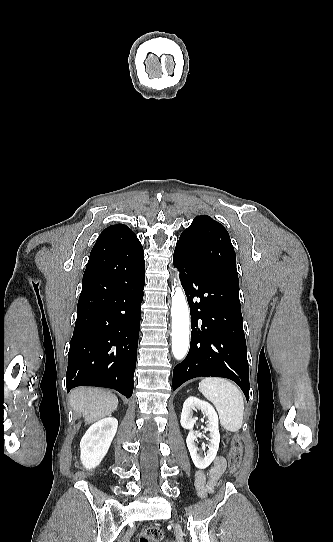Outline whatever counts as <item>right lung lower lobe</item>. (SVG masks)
<instances>
[{
    "mask_svg": "<svg viewBox=\"0 0 333 542\" xmlns=\"http://www.w3.org/2000/svg\"><path fill=\"white\" fill-rule=\"evenodd\" d=\"M144 271L139 240L91 252L68 353V391L89 385L132 396Z\"/></svg>",
    "mask_w": 333,
    "mask_h": 542,
    "instance_id": "right-lung-lower-lobe-1",
    "label": "right lung lower lobe"
}]
</instances>
